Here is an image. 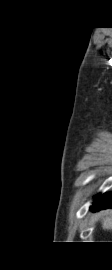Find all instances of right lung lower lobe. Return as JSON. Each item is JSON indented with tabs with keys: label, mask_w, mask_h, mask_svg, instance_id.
<instances>
[{
	"label": "right lung lower lobe",
	"mask_w": 112,
	"mask_h": 270,
	"mask_svg": "<svg viewBox=\"0 0 112 270\" xmlns=\"http://www.w3.org/2000/svg\"><path fill=\"white\" fill-rule=\"evenodd\" d=\"M112 208V193H106L95 197L92 205L93 211Z\"/></svg>",
	"instance_id": "98d812e1"
}]
</instances>
